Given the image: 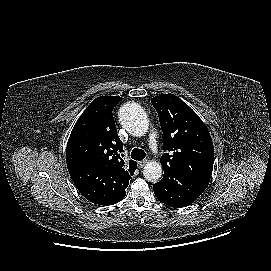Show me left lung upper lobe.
Wrapping results in <instances>:
<instances>
[{
    "label": "left lung upper lobe",
    "instance_id": "1",
    "mask_svg": "<svg viewBox=\"0 0 271 271\" xmlns=\"http://www.w3.org/2000/svg\"><path fill=\"white\" fill-rule=\"evenodd\" d=\"M163 131L164 172H179L207 187L214 163V146L199 116L180 98L163 94L151 99Z\"/></svg>",
    "mask_w": 271,
    "mask_h": 271
}]
</instances>
